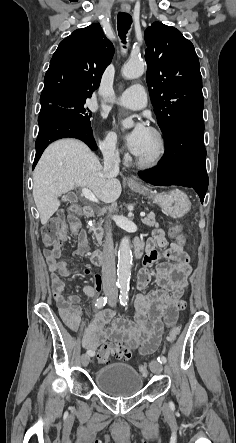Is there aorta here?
<instances>
[{"instance_id": "1", "label": "aorta", "mask_w": 236, "mask_h": 443, "mask_svg": "<svg viewBox=\"0 0 236 443\" xmlns=\"http://www.w3.org/2000/svg\"><path fill=\"white\" fill-rule=\"evenodd\" d=\"M144 73L143 61L129 62L122 68V75L126 79H136ZM123 129L131 128L133 121L125 119L122 121ZM132 268V252L130 248V240L124 237L121 240L118 250V264H117V284L124 288L129 286L130 275Z\"/></svg>"}]
</instances>
